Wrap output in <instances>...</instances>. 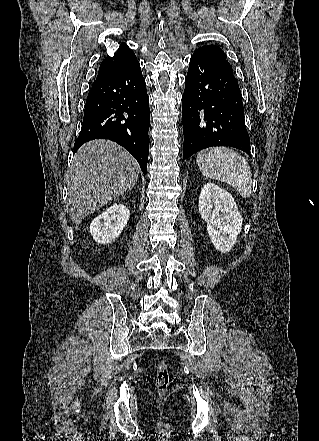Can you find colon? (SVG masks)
I'll use <instances>...</instances> for the list:
<instances>
[{
  "mask_svg": "<svg viewBox=\"0 0 319 441\" xmlns=\"http://www.w3.org/2000/svg\"><path fill=\"white\" fill-rule=\"evenodd\" d=\"M157 370V386L159 389L164 390L169 383V371L165 362L158 361L156 365Z\"/></svg>",
  "mask_w": 319,
  "mask_h": 441,
  "instance_id": "5ec220e1",
  "label": "colon"
}]
</instances>
